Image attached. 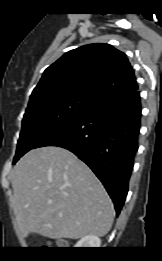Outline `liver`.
I'll return each instance as SVG.
<instances>
[{"label":"liver","mask_w":162,"mask_h":261,"mask_svg":"<svg viewBox=\"0 0 162 261\" xmlns=\"http://www.w3.org/2000/svg\"><path fill=\"white\" fill-rule=\"evenodd\" d=\"M11 182L12 206L24 237H103L112 227L114 206L103 185L64 148L29 151L14 167Z\"/></svg>","instance_id":"liver-1"}]
</instances>
